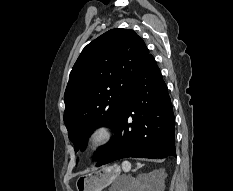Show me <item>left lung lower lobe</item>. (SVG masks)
<instances>
[{"label": "left lung lower lobe", "mask_w": 233, "mask_h": 191, "mask_svg": "<svg viewBox=\"0 0 233 191\" xmlns=\"http://www.w3.org/2000/svg\"><path fill=\"white\" fill-rule=\"evenodd\" d=\"M115 130L117 136L105 146L97 167L127 157H176L173 107L151 54L131 85Z\"/></svg>", "instance_id": "1"}]
</instances>
